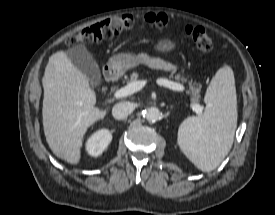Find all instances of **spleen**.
<instances>
[{
	"mask_svg": "<svg viewBox=\"0 0 275 215\" xmlns=\"http://www.w3.org/2000/svg\"><path fill=\"white\" fill-rule=\"evenodd\" d=\"M203 115L185 119L178 145L201 171L214 170L230 151L237 127V97L233 70L222 66L212 78L204 98Z\"/></svg>",
	"mask_w": 275,
	"mask_h": 215,
	"instance_id": "1",
	"label": "spleen"
}]
</instances>
